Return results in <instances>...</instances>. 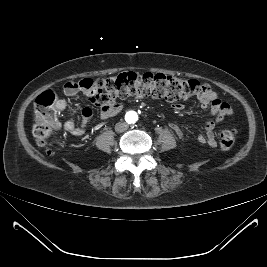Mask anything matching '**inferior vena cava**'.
Segmentation results:
<instances>
[{"label":"inferior vena cava","instance_id":"obj_1","mask_svg":"<svg viewBox=\"0 0 267 267\" xmlns=\"http://www.w3.org/2000/svg\"><path fill=\"white\" fill-rule=\"evenodd\" d=\"M128 129V124L126 122H118L115 125L116 132H124Z\"/></svg>","mask_w":267,"mask_h":267}]
</instances>
